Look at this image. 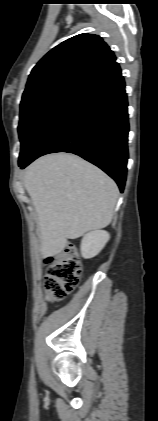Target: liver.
Wrapping results in <instances>:
<instances>
[{
    "instance_id": "obj_1",
    "label": "liver",
    "mask_w": 158,
    "mask_h": 421,
    "mask_svg": "<svg viewBox=\"0 0 158 421\" xmlns=\"http://www.w3.org/2000/svg\"><path fill=\"white\" fill-rule=\"evenodd\" d=\"M24 184L38 216L45 257L61 253L68 239L109 225L119 194L103 171L66 153L34 161L25 171Z\"/></svg>"
}]
</instances>
